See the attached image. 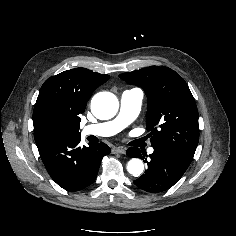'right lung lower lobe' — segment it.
I'll return each instance as SVG.
<instances>
[{
    "label": "right lung lower lobe",
    "mask_w": 236,
    "mask_h": 236,
    "mask_svg": "<svg viewBox=\"0 0 236 236\" xmlns=\"http://www.w3.org/2000/svg\"><path fill=\"white\" fill-rule=\"evenodd\" d=\"M81 135H68L37 144L51 178L63 189L78 191L96 179L103 156L110 153L104 143L80 147Z\"/></svg>",
    "instance_id": "obj_1"
}]
</instances>
